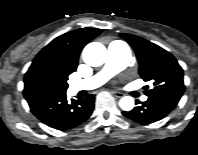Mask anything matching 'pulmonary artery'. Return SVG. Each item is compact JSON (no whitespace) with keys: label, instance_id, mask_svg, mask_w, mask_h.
I'll return each instance as SVG.
<instances>
[{"label":"pulmonary artery","instance_id":"pulmonary-artery-1","mask_svg":"<svg viewBox=\"0 0 198 155\" xmlns=\"http://www.w3.org/2000/svg\"><path fill=\"white\" fill-rule=\"evenodd\" d=\"M130 61V51L127 46L121 41H113L109 44L107 50V61L102 71L96 75L72 81L69 84L71 93H77L81 90H90L104 84L110 77L117 72L123 70ZM146 96L142 97L145 101Z\"/></svg>","mask_w":198,"mask_h":155}]
</instances>
